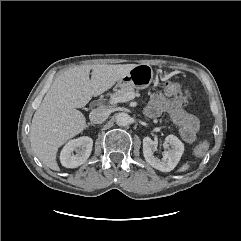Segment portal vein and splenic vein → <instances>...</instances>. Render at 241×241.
Wrapping results in <instances>:
<instances>
[{"instance_id":"portal-vein-and-splenic-vein-1","label":"portal vein and splenic vein","mask_w":241,"mask_h":241,"mask_svg":"<svg viewBox=\"0 0 241 241\" xmlns=\"http://www.w3.org/2000/svg\"><path fill=\"white\" fill-rule=\"evenodd\" d=\"M134 98H135L134 92H130V93H127L126 95H124L123 97H112L109 100V104L114 105V104L121 103V102H127L129 100L134 99Z\"/></svg>"}]
</instances>
